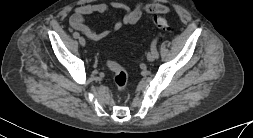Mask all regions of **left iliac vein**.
I'll use <instances>...</instances> for the list:
<instances>
[{"mask_svg": "<svg viewBox=\"0 0 253 138\" xmlns=\"http://www.w3.org/2000/svg\"><path fill=\"white\" fill-rule=\"evenodd\" d=\"M156 59V50L155 49H151L149 51V53L147 54V60L152 62Z\"/></svg>", "mask_w": 253, "mask_h": 138, "instance_id": "obj_1", "label": "left iliac vein"}]
</instances>
